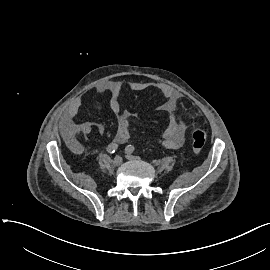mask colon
Listing matches in <instances>:
<instances>
[{
	"instance_id": "colon-1",
	"label": "colon",
	"mask_w": 270,
	"mask_h": 270,
	"mask_svg": "<svg viewBox=\"0 0 270 270\" xmlns=\"http://www.w3.org/2000/svg\"><path fill=\"white\" fill-rule=\"evenodd\" d=\"M185 118L189 122H194L196 119V114L193 111H186ZM192 149L195 152L201 151L206 144V134L204 130L200 127H197L193 130L191 135Z\"/></svg>"
}]
</instances>
